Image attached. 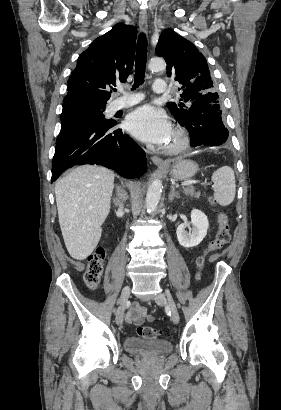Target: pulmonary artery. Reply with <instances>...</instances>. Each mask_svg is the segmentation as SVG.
Wrapping results in <instances>:
<instances>
[{"instance_id": "pulmonary-artery-1", "label": "pulmonary artery", "mask_w": 281, "mask_h": 410, "mask_svg": "<svg viewBox=\"0 0 281 410\" xmlns=\"http://www.w3.org/2000/svg\"><path fill=\"white\" fill-rule=\"evenodd\" d=\"M120 91H122L121 88H119ZM153 90L156 93H165L167 91V83L165 80L162 79H157L154 81L153 84ZM142 100V97L140 95H133L130 94L126 98L118 99L113 103V109L115 111L120 110V109H125L128 107H131L137 103H139Z\"/></svg>"}]
</instances>
